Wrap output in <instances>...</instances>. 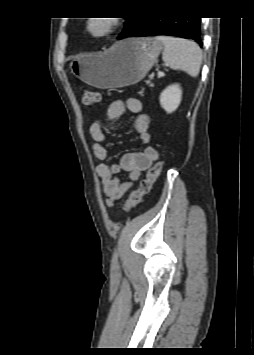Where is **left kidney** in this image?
<instances>
[{"label": "left kidney", "mask_w": 254, "mask_h": 355, "mask_svg": "<svg viewBox=\"0 0 254 355\" xmlns=\"http://www.w3.org/2000/svg\"><path fill=\"white\" fill-rule=\"evenodd\" d=\"M182 98V90L179 84L168 86L160 95V104L167 113L175 111Z\"/></svg>", "instance_id": "obj_1"}]
</instances>
